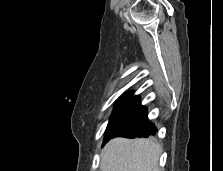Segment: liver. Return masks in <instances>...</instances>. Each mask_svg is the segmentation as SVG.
<instances>
[{
    "label": "liver",
    "instance_id": "1",
    "mask_svg": "<svg viewBox=\"0 0 223 171\" xmlns=\"http://www.w3.org/2000/svg\"><path fill=\"white\" fill-rule=\"evenodd\" d=\"M162 147L150 139L115 138L102 151V171H160Z\"/></svg>",
    "mask_w": 223,
    "mask_h": 171
}]
</instances>
